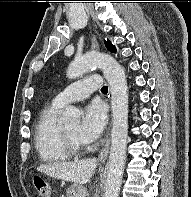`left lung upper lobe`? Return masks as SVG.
Wrapping results in <instances>:
<instances>
[{
    "label": "left lung upper lobe",
    "instance_id": "obj_1",
    "mask_svg": "<svg viewBox=\"0 0 191 197\" xmlns=\"http://www.w3.org/2000/svg\"><path fill=\"white\" fill-rule=\"evenodd\" d=\"M105 45L109 51L116 52L115 46H113L109 40L105 41Z\"/></svg>",
    "mask_w": 191,
    "mask_h": 197
}]
</instances>
